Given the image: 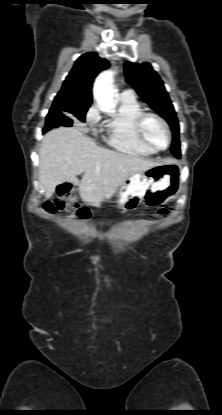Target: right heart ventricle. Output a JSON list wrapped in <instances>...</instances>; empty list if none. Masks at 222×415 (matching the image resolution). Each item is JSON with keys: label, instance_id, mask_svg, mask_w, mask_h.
Returning a JSON list of instances; mask_svg holds the SVG:
<instances>
[{"label": "right heart ventricle", "instance_id": "right-heart-ventricle-1", "mask_svg": "<svg viewBox=\"0 0 222 415\" xmlns=\"http://www.w3.org/2000/svg\"><path fill=\"white\" fill-rule=\"evenodd\" d=\"M118 113L107 121L104 126V140L112 148L139 156H148L156 150L140 141L135 129L137 117L143 112L135 98L120 96Z\"/></svg>", "mask_w": 222, "mask_h": 415}]
</instances>
